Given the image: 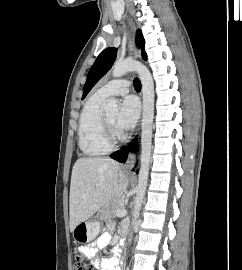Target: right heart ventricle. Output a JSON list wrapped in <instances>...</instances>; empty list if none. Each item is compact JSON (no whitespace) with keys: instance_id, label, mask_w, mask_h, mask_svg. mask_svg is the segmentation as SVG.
Here are the masks:
<instances>
[{"instance_id":"right-heart-ventricle-1","label":"right heart ventricle","mask_w":242,"mask_h":270,"mask_svg":"<svg viewBox=\"0 0 242 270\" xmlns=\"http://www.w3.org/2000/svg\"><path fill=\"white\" fill-rule=\"evenodd\" d=\"M105 100L94 94L86 102L80 116L78 145L87 156H100L111 150L103 136L102 106Z\"/></svg>"}]
</instances>
